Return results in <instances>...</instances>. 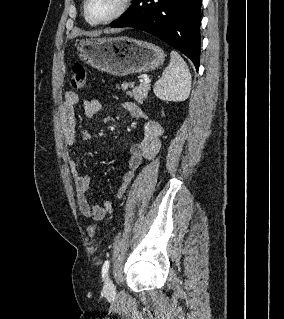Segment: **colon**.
Segmentation results:
<instances>
[{
	"label": "colon",
	"mask_w": 284,
	"mask_h": 319,
	"mask_svg": "<svg viewBox=\"0 0 284 319\" xmlns=\"http://www.w3.org/2000/svg\"><path fill=\"white\" fill-rule=\"evenodd\" d=\"M71 84L75 89H85L88 87L87 72L85 67L80 63H76L72 67ZM87 231L90 236H94L97 231V226L91 224L88 226Z\"/></svg>",
	"instance_id": "obj_1"
}]
</instances>
